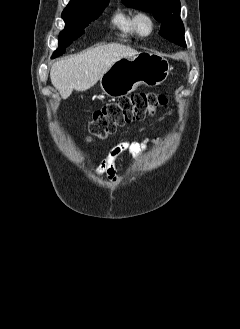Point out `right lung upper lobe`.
I'll use <instances>...</instances> for the list:
<instances>
[{"mask_svg":"<svg viewBox=\"0 0 240 329\" xmlns=\"http://www.w3.org/2000/svg\"><path fill=\"white\" fill-rule=\"evenodd\" d=\"M98 1H105V0H71L67 5V7L89 6L95 4Z\"/></svg>","mask_w":240,"mask_h":329,"instance_id":"right-lung-upper-lobe-1","label":"right lung upper lobe"}]
</instances>
